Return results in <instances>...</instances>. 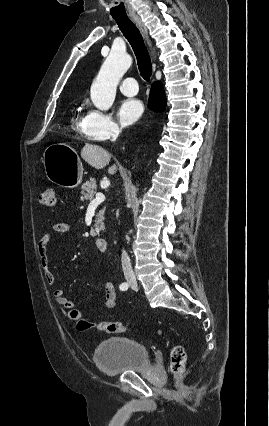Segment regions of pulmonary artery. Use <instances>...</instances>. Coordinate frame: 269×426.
<instances>
[{
    "label": "pulmonary artery",
    "instance_id": "1",
    "mask_svg": "<svg viewBox=\"0 0 269 426\" xmlns=\"http://www.w3.org/2000/svg\"><path fill=\"white\" fill-rule=\"evenodd\" d=\"M119 89L126 96H134L138 93V85L133 77H125L120 82Z\"/></svg>",
    "mask_w": 269,
    "mask_h": 426
}]
</instances>
